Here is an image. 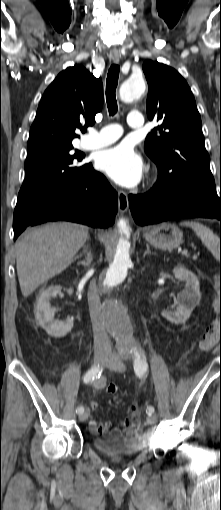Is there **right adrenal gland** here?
<instances>
[{
  "label": "right adrenal gland",
  "instance_id": "obj_1",
  "mask_svg": "<svg viewBox=\"0 0 221 510\" xmlns=\"http://www.w3.org/2000/svg\"><path fill=\"white\" fill-rule=\"evenodd\" d=\"M92 261V254H91V251L89 250L87 253H86V257H85V260H82V261H79L78 262V265H84V266H88Z\"/></svg>",
  "mask_w": 221,
  "mask_h": 510
}]
</instances>
